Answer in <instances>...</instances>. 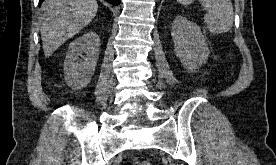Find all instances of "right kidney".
Here are the masks:
<instances>
[{
  "mask_svg": "<svg viewBox=\"0 0 276 165\" xmlns=\"http://www.w3.org/2000/svg\"><path fill=\"white\" fill-rule=\"evenodd\" d=\"M100 39L97 33L89 31L76 38L69 46L64 62V79L72 89L86 87L94 74L99 57ZM85 53L83 60L79 58Z\"/></svg>",
  "mask_w": 276,
  "mask_h": 165,
  "instance_id": "ca27d5eb",
  "label": "right kidney"
}]
</instances>
